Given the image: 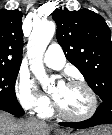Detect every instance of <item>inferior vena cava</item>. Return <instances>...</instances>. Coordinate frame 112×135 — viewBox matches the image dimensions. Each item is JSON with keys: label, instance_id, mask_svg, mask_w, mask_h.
I'll list each match as a JSON object with an SVG mask.
<instances>
[{"label": "inferior vena cava", "instance_id": "obj_1", "mask_svg": "<svg viewBox=\"0 0 112 135\" xmlns=\"http://www.w3.org/2000/svg\"><path fill=\"white\" fill-rule=\"evenodd\" d=\"M29 121L33 122V121H36L35 118H29Z\"/></svg>", "mask_w": 112, "mask_h": 135}]
</instances>
